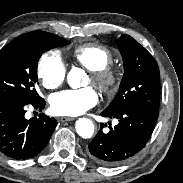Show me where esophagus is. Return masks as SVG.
Segmentation results:
<instances>
[{
	"mask_svg": "<svg viewBox=\"0 0 183 183\" xmlns=\"http://www.w3.org/2000/svg\"><path fill=\"white\" fill-rule=\"evenodd\" d=\"M72 120H74L73 117H60L59 118V121H61V122L72 121Z\"/></svg>",
	"mask_w": 183,
	"mask_h": 183,
	"instance_id": "34e87169",
	"label": "esophagus"
}]
</instances>
